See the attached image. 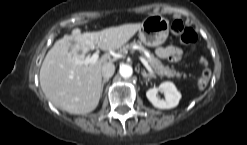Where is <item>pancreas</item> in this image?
<instances>
[{
    "label": "pancreas",
    "mask_w": 247,
    "mask_h": 145,
    "mask_svg": "<svg viewBox=\"0 0 247 145\" xmlns=\"http://www.w3.org/2000/svg\"><path fill=\"white\" fill-rule=\"evenodd\" d=\"M138 44L136 43H130V44H126L125 46H123L120 49L121 53H126L128 50L133 49L134 46H136ZM140 46V45H138ZM147 61L149 62L151 68L153 69L154 73L161 76V77H186L185 73H180L178 71H176L175 69L169 67V66H165L164 64H162V62L156 58L153 54H150L149 57H147Z\"/></svg>",
    "instance_id": "pancreas-1"
}]
</instances>
